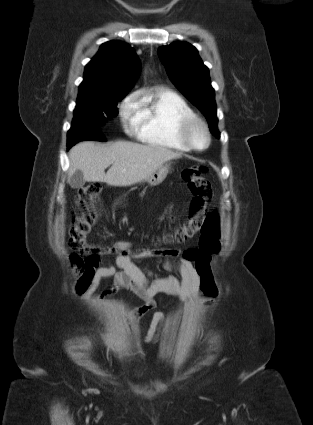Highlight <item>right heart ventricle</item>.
<instances>
[{
  "label": "right heart ventricle",
  "mask_w": 313,
  "mask_h": 425,
  "mask_svg": "<svg viewBox=\"0 0 313 425\" xmlns=\"http://www.w3.org/2000/svg\"><path fill=\"white\" fill-rule=\"evenodd\" d=\"M187 102L169 90H154L138 99L135 131L138 138L151 146L187 152L191 149L179 136L183 120L195 117Z\"/></svg>",
  "instance_id": "obj_1"
}]
</instances>
